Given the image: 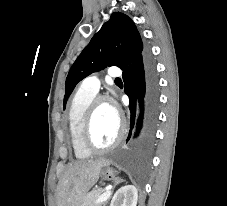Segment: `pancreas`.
<instances>
[{"instance_id": "cf45deb5", "label": "pancreas", "mask_w": 227, "mask_h": 206, "mask_svg": "<svg viewBox=\"0 0 227 206\" xmlns=\"http://www.w3.org/2000/svg\"><path fill=\"white\" fill-rule=\"evenodd\" d=\"M104 189L98 188L93 189L91 192L87 193L83 200L81 206H102V204H105V202L97 204V199L102 195Z\"/></svg>"}]
</instances>
